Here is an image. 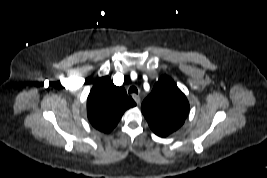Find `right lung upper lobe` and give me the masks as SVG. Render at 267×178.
<instances>
[{"mask_svg":"<svg viewBox=\"0 0 267 178\" xmlns=\"http://www.w3.org/2000/svg\"><path fill=\"white\" fill-rule=\"evenodd\" d=\"M135 105L123 87L115 86L108 76L101 77L94 82L87 99L88 119L94 128L109 133L123 113Z\"/></svg>","mask_w":267,"mask_h":178,"instance_id":"right-lung-upper-lobe-1","label":"right lung upper lobe"}]
</instances>
